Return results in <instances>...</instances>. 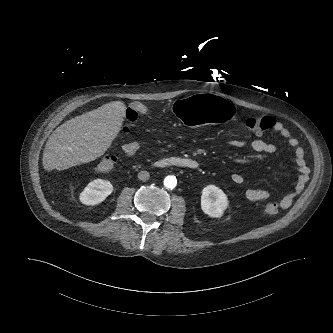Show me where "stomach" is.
Here are the masks:
<instances>
[{
	"label": "stomach",
	"instance_id": "0dacf381",
	"mask_svg": "<svg viewBox=\"0 0 333 333\" xmlns=\"http://www.w3.org/2000/svg\"><path fill=\"white\" fill-rule=\"evenodd\" d=\"M173 112L185 124L226 125L237 114L236 104L226 96L210 93L188 95L177 99L172 106Z\"/></svg>",
	"mask_w": 333,
	"mask_h": 333
}]
</instances>
